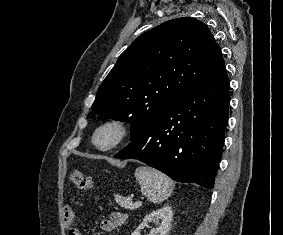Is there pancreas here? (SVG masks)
Segmentation results:
<instances>
[{
	"instance_id": "1",
	"label": "pancreas",
	"mask_w": 283,
	"mask_h": 235,
	"mask_svg": "<svg viewBox=\"0 0 283 235\" xmlns=\"http://www.w3.org/2000/svg\"><path fill=\"white\" fill-rule=\"evenodd\" d=\"M115 201L118 205L125 209L135 210L140 207L138 203H133L130 198H124L122 196H115Z\"/></svg>"
}]
</instances>
